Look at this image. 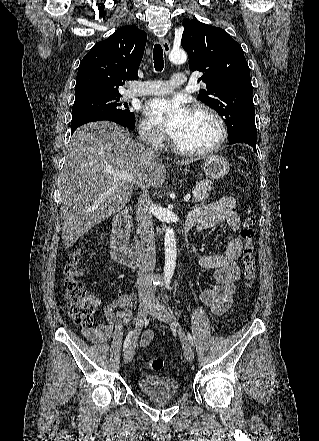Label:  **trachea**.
<instances>
[{
	"label": "trachea",
	"instance_id": "1",
	"mask_svg": "<svg viewBox=\"0 0 319 441\" xmlns=\"http://www.w3.org/2000/svg\"><path fill=\"white\" fill-rule=\"evenodd\" d=\"M154 68L156 71H162L164 68L163 49L160 44H155L153 49Z\"/></svg>",
	"mask_w": 319,
	"mask_h": 441
}]
</instances>
